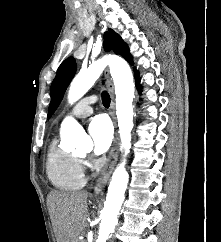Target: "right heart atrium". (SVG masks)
Returning <instances> with one entry per match:
<instances>
[{
	"label": "right heart atrium",
	"mask_w": 221,
	"mask_h": 242,
	"mask_svg": "<svg viewBox=\"0 0 221 242\" xmlns=\"http://www.w3.org/2000/svg\"><path fill=\"white\" fill-rule=\"evenodd\" d=\"M81 163L85 168H88V169H94L97 166V162L95 160L88 159V158L83 159Z\"/></svg>",
	"instance_id": "right-heart-atrium-1"
}]
</instances>
